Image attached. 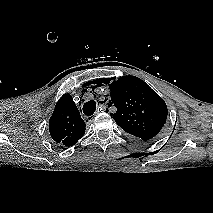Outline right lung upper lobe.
I'll list each match as a JSON object with an SVG mask.
<instances>
[{
  "mask_svg": "<svg viewBox=\"0 0 213 213\" xmlns=\"http://www.w3.org/2000/svg\"><path fill=\"white\" fill-rule=\"evenodd\" d=\"M85 122L71 95L64 94L57 102L49 120V132L59 145L70 147L85 133Z\"/></svg>",
  "mask_w": 213,
  "mask_h": 213,
  "instance_id": "right-lung-upper-lobe-1",
  "label": "right lung upper lobe"
}]
</instances>
